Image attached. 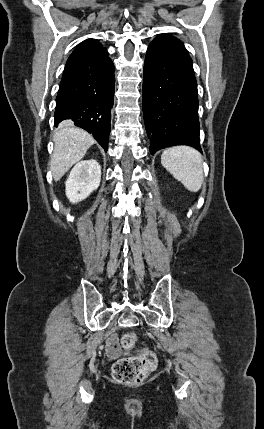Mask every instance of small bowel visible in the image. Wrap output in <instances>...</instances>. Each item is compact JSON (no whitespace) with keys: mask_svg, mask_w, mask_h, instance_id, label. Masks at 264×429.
Instances as JSON below:
<instances>
[{"mask_svg":"<svg viewBox=\"0 0 264 429\" xmlns=\"http://www.w3.org/2000/svg\"><path fill=\"white\" fill-rule=\"evenodd\" d=\"M106 352L110 358H116L120 354L117 335H111L106 342Z\"/></svg>","mask_w":264,"mask_h":429,"instance_id":"obj_1","label":"small bowel"}]
</instances>
